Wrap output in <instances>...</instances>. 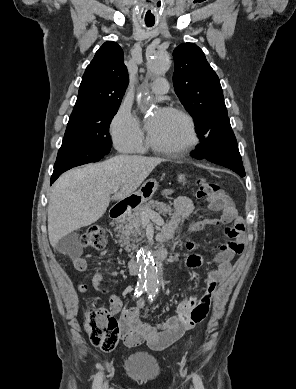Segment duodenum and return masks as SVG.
<instances>
[{
    "mask_svg": "<svg viewBox=\"0 0 296 389\" xmlns=\"http://www.w3.org/2000/svg\"><path fill=\"white\" fill-rule=\"evenodd\" d=\"M138 201L133 198H128L117 205H115L110 210V218L116 222L120 220L128 211L137 206ZM163 242L164 240L161 239ZM168 256V250L165 246L160 245V247L155 252V259L158 262L163 261ZM129 272L131 275H137L139 273V264L138 262L131 261L128 265Z\"/></svg>",
    "mask_w": 296,
    "mask_h": 389,
    "instance_id": "obj_1",
    "label": "duodenum"
}]
</instances>
